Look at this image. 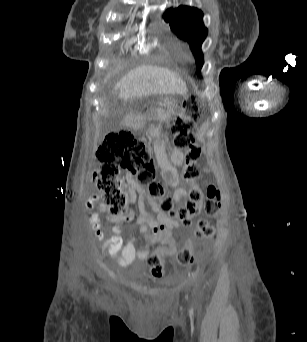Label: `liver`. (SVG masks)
Returning a JSON list of instances; mask_svg holds the SVG:
<instances>
[{
  "instance_id": "1",
  "label": "liver",
  "mask_w": 307,
  "mask_h": 342,
  "mask_svg": "<svg viewBox=\"0 0 307 342\" xmlns=\"http://www.w3.org/2000/svg\"><path fill=\"white\" fill-rule=\"evenodd\" d=\"M114 90H120V100H133V98H145L156 94H187L186 82L180 78V74L159 68V66H138L125 74Z\"/></svg>"
}]
</instances>
